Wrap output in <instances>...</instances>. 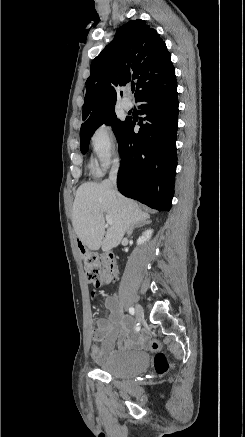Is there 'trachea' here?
Returning <instances> with one entry per match:
<instances>
[{"label": "trachea", "instance_id": "trachea-1", "mask_svg": "<svg viewBox=\"0 0 245 437\" xmlns=\"http://www.w3.org/2000/svg\"><path fill=\"white\" fill-rule=\"evenodd\" d=\"M135 88H132V93L134 92Z\"/></svg>", "mask_w": 245, "mask_h": 437}]
</instances>
